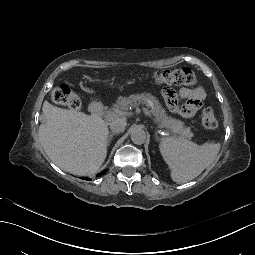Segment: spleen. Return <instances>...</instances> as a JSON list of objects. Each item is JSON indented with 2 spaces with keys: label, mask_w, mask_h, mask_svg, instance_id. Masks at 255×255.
Masks as SVG:
<instances>
[{
  "label": "spleen",
  "mask_w": 255,
  "mask_h": 255,
  "mask_svg": "<svg viewBox=\"0 0 255 255\" xmlns=\"http://www.w3.org/2000/svg\"><path fill=\"white\" fill-rule=\"evenodd\" d=\"M160 152L171 169L174 182L185 183L207 168L220 150V144L204 143L199 146L185 138L165 137L161 139Z\"/></svg>",
  "instance_id": "spleen-1"
}]
</instances>
